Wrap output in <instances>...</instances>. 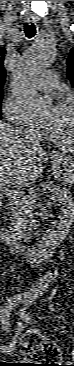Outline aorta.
<instances>
[{"instance_id": "1", "label": "aorta", "mask_w": 74, "mask_h": 366, "mask_svg": "<svg viewBox=\"0 0 74 366\" xmlns=\"http://www.w3.org/2000/svg\"><path fill=\"white\" fill-rule=\"evenodd\" d=\"M57 50L44 41L35 42L21 57L12 78L15 93L35 113L44 112L49 100L37 89L39 75L56 60Z\"/></svg>"}]
</instances>
